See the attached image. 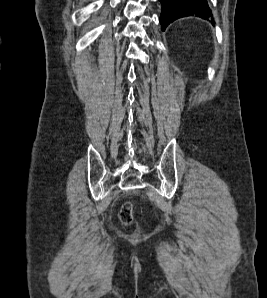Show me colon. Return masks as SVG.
<instances>
[{
  "instance_id": "1",
  "label": "colon",
  "mask_w": 267,
  "mask_h": 298,
  "mask_svg": "<svg viewBox=\"0 0 267 298\" xmlns=\"http://www.w3.org/2000/svg\"><path fill=\"white\" fill-rule=\"evenodd\" d=\"M120 219L126 225L131 224L132 219H133L131 203H126L123 205V207L120 211Z\"/></svg>"
}]
</instances>
